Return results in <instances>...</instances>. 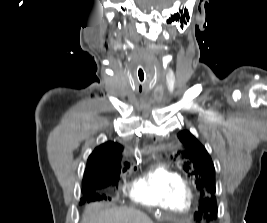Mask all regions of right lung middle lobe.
<instances>
[{
	"label": "right lung middle lobe",
	"instance_id": "1",
	"mask_svg": "<svg viewBox=\"0 0 267 223\" xmlns=\"http://www.w3.org/2000/svg\"><path fill=\"white\" fill-rule=\"evenodd\" d=\"M119 177H120V170H113L107 173L105 176L102 177V180L105 181L104 186H109L111 184L117 185ZM86 199L90 201L95 199H106V197H99L95 192H91V193H84V196L81 199V203L85 202Z\"/></svg>",
	"mask_w": 267,
	"mask_h": 223
}]
</instances>
